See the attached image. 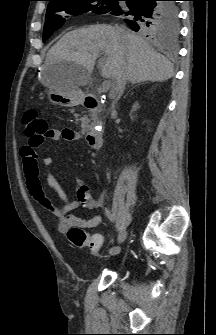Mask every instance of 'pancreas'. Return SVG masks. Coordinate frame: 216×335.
I'll use <instances>...</instances> for the list:
<instances>
[{
    "label": "pancreas",
    "mask_w": 216,
    "mask_h": 335,
    "mask_svg": "<svg viewBox=\"0 0 216 335\" xmlns=\"http://www.w3.org/2000/svg\"><path fill=\"white\" fill-rule=\"evenodd\" d=\"M89 127L90 126H89V119H88V117L83 118L82 119V124H81V128H82L81 133H85L86 131H88Z\"/></svg>",
    "instance_id": "obj_1"
}]
</instances>
